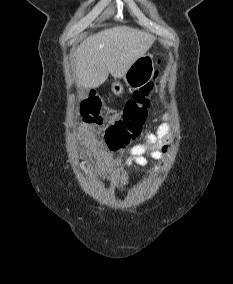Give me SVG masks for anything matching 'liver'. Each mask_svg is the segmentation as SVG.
<instances>
[{
    "mask_svg": "<svg viewBox=\"0 0 233 284\" xmlns=\"http://www.w3.org/2000/svg\"><path fill=\"white\" fill-rule=\"evenodd\" d=\"M150 33L116 26L91 35L76 49L75 74L78 86L97 88L108 78H121L130 66L152 46Z\"/></svg>",
    "mask_w": 233,
    "mask_h": 284,
    "instance_id": "1",
    "label": "liver"
}]
</instances>
